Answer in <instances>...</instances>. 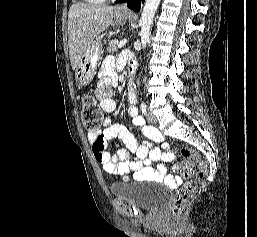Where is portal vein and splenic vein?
<instances>
[{
  "label": "portal vein and splenic vein",
  "instance_id": "obj_1",
  "mask_svg": "<svg viewBox=\"0 0 257 237\" xmlns=\"http://www.w3.org/2000/svg\"><path fill=\"white\" fill-rule=\"evenodd\" d=\"M126 43H127V40L120 41V43L118 44V48L123 47Z\"/></svg>",
  "mask_w": 257,
  "mask_h": 237
}]
</instances>
